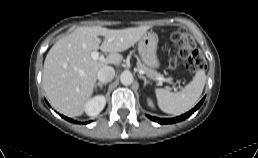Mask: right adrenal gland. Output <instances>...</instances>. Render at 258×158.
Masks as SVG:
<instances>
[{
  "label": "right adrenal gland",
  "instance_id": "obj_1",
  "mask_svg": "<svg viewBox=\"0 0 258 158\" xmlns=\"http://www.w3.org/2000/svg\"><path fill=\"white\" fill-rule=\"evenodd\" d=\"M106 84H107V83H100V82H99L98 84L95 85V90H97L98 87H99L100 89H102L103 86L106 85Z\"/></svg>",
  "mask_w": 258,
  "mask_h": 158
}]
</instances>
